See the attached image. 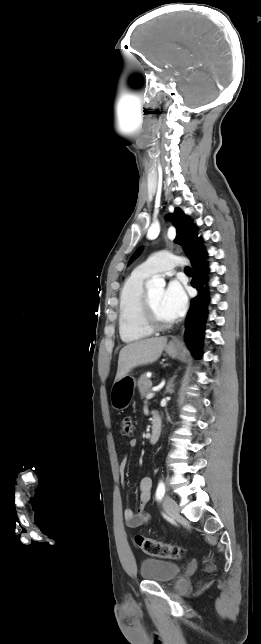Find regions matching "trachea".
I'll use <instances>...</instances> for the list:
<instances>
[{"mask_svg": "<svg viewBox=\"0 0 261 644\" xmlns=\"http://www.w3.org/2000/svg\"><path fill=\"white\" fill-rule=\"evenodd\" d=\"M185 272H192V269L190 267H186Z\"/></svg>", "mask_w": 261, "mask_h": 644, "instance_id": "obj_1", "label": "trachea"}]
</instances>
